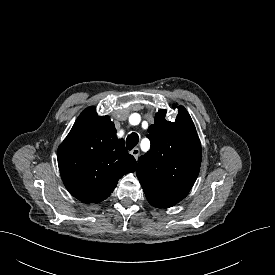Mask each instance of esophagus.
<instances>
[{
    "label": "esophagus",
    "instance_id": "34e87169",
    "mask_svg": "<svg viewBox=\"0 0 275 275\" xmlns=\"http://www.w3.org/2000/svg\"><path fill=\"white\" fill-rule=\"evenodd\" d=\"M131 154L134 156V158L137 160L139 155H140V150L139 148H134L133 150H131Z\"/></svg>",
    "mask_w": 275,
    "mask_h": 275
}]
</instances>
